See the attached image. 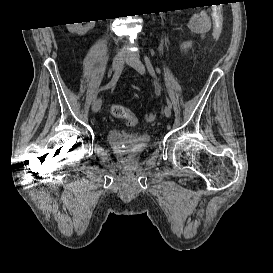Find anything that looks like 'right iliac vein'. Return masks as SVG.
<instances>
[{"label": "right iliac vein", "mask_w": 273, "mask_h": 273, "mask_svg": "<svg viewBox=\"0 0 273 273\" xmlns=\"http://www.w3.org/2000/svg\"><path fill=\"white\" fill-rule=\"evenodd\" d=\"M125 58V53L124 52H119L116 57L114 58L113 62H112V70L116 73L117 71H119V69L122 67L123 65V61ZM101 104H102V100L101 98L97 99L95 101V103L92 106V111L94 113L98 112L99 109L101 108Z\"/></svg>", "instance_id": "right-iliac-vein-1"}]
</instances>
